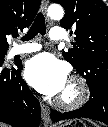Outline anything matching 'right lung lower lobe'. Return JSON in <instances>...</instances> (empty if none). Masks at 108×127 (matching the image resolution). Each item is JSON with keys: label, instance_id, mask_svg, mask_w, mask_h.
<instances>
[{"label": "right lung lower lobe", "instance_id": "1", "mask_svg": "<svg viewBox=\"0 0 108 127\" xmlns=\"http://www.w3.org/2000/svg\"><path fill=\"white\" fill-rule=\"evenodd\" d=\"M22 65L6 68L0 63V121L13 127H36L41 109L21 78Z\"/></svg>", "mask_w": 108, "mask_h": 127}]
</instances>
